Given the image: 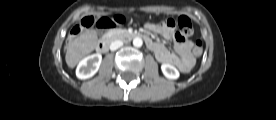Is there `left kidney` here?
Returning <instances> with one entry per match:
<instances>
[{"label":"left kidney","instance_id":"1","mask_svg":"<svg viewBox=\"0 0 276 120\" xmlns=\"http://www.w3.org/2000/svg\"><path fill=\"white\" fill-rule=\"evenodd\" d=\"M161 70L164 76L168 79H177L179 77V71L171 64H162Z\"/></svg>","mask_w":276,"mask_h":120}]
</instances>
